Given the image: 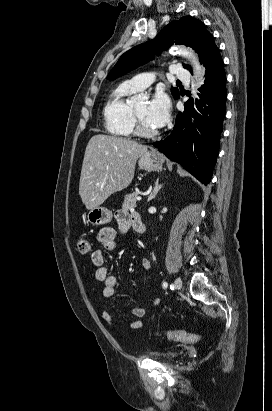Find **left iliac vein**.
<instances>
[{
    "label": "left iliac vein",
    "mask_w": 272,
    "mask_h": 411,
    "mask_svg": "<svg viewBox=\"0 0 272 411\" xmlns=\"http://www.w3.org/2000/svg\"><path fill=\"white\" fill-rule=\"evenodd\" d=\"M174 286L176 289L180 290L182 288V281L180 278H176L174 281Z\"/></svg>",
    "instance_id": "4c4485c4"
}]
</instances>
